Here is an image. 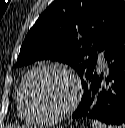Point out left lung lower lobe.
I'll use <instances>...</instances> for the list:
<instances>
[{
    "mask_svg": "<svg viewBox=\"0 0 125 128\" xmlns=\"http://www.w3.org/2000/svg\"><path fill=\"white\" fill-rule=\"evenodd\" d=\"M99 66L82 83L84 94L72 118H92L125 128V27L103 51Z\"/></svg>",
    "mask_w": 125,
    "mask_h": 128,
    "instance_id": "obj_1",
    "label": "left lung lower lobe"
}]
</instances>
